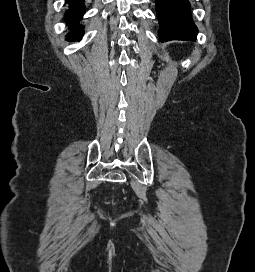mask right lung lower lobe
Listing matches in <instances>:
<instances>
[{
  "label": "right lung lower lobe",
  "mask_w": 255,
  "mask_h": 272,
  "mask_svg": "<svg viewBox=\"0 0 255 272\" xmlns=\"http://www.w3.org/2000/svg\"><path fill=\"white\" fill-rule=\"evenodd\" d=\"M69 4V9L65 13L67 24L70 27V32L67 34V38L79 39L83 36L84 31L79 24L84 13L85 7L83 6L84 0H66Z\"/></svg>",
  "instance_id": "obj_1"
}]
</instances>
